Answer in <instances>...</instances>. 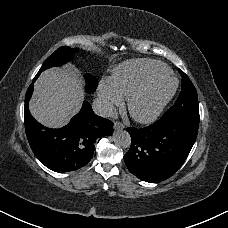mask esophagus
<instances>
[{"label": "esophagus", "mask_w": 228, "mask_h": 228, "mask_svg": "<svg viewBox=\"0 0 228 228\" xmlns=\"http://www.w3.org/2000/svg\"><path fill=\"white\" fill-rule=\"evenodd\" d=\"M114 129H124V124L121 123L120 121H116L114 123Z\"/></svg>", "instance_id": "1"}]
</instances>
